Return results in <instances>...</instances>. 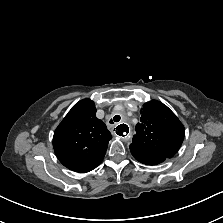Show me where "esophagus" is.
I'll use <instances>...</instances> for the list:
<instances>
[{
    "label": "esophagus",
    "mask_w": 223,
    "mask_h": 223,
    "mask_svg": "<svg viewBox=\"0 0 223 223\" xmlns=\"http://www.w3.org/2000/svg\"><path fill=\"white\" fill-rule=\"evenodd\" d=\"M117 131H116V135L121 137L123 140L127 141L130 139L131 137V128L127 125V124H121L119 126L116 127Z\"/></svg>",
    "instance_id": "esophagus-1"
}]
</instances>
